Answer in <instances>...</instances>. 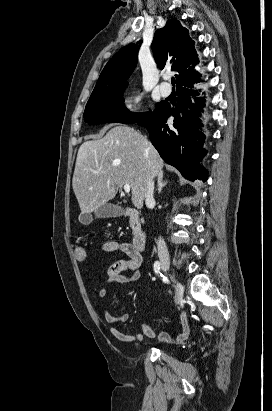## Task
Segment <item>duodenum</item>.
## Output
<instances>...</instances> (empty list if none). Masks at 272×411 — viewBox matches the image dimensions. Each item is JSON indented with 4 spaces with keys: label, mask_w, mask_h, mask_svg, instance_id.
I'll use <instances>...</instances> for the list:
<instances>
[{
    "label": "duodenum",
    "mask_w": 272,
    "mask_h": 411,
    "mask_svg": "<svg viewBox=\"0 0 272 411\" xmlns=\"http://www.w3.org/2000/svg\"><path fill=\"white\" fill-rule=\"evenodd\" d=\"M124 217L129 218L132 221L137 220L138 218V211L133 208H126L123 213ZM147 242V235L142 230H135L132 234V245L135 249L142 250L145 248Z\"/></svg>",
    "instance_id": "obj_1"
}]
</instances>
